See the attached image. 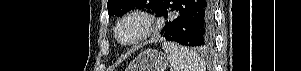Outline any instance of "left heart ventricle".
Instances as JSON below:
<instances>
[{"mask_svg": "<svg viewBox=\"0 0 301 71\" xmlns=\"http://www.w3.org/2000/svg\"><path fill=\"white\" fill-rule=\"evenodd\" d=\"M140 24L137 21H129L120 29V37L124 41L132 40L140 31Z\"/></svg>", "mask_w": 301, "mask_h": 71, "instance_id": "left-heart-ventricle-1", "label": "left heart ventricle"}]
</instances>
